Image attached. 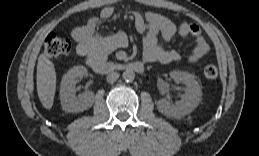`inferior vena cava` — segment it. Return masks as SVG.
<instances>
[{
  "mask_svg": "<svg viewBox=\"0 0 259 156\" xmlns=\"http://www.w3.org/2000/svg\"><path fill=\"white\" fill-rule=\"evenodd\" d=\"M119 78V74L117 72L109 73L107 76V82L114 83Z\"/></svg>",
  "mask_w": 259,
  "mask_h": 156,
  "instance_id": "1",
  "label": "inferior vena cava"
}]
</instances>
